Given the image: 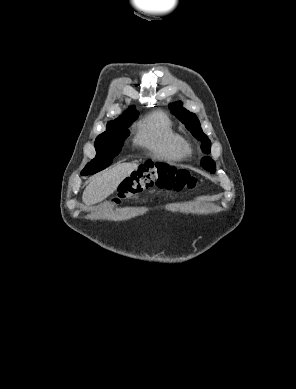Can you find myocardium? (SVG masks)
<instances>
[{
	"label": "myocardium",
	"mask_w": 296,
	"mask_h": 389,
	"mask_svg": "<svg viewBox=\"0 0 296 389\" xmlns=\"http://www.w3.org/2000/svg\"><path fill=\"white\" fill-rule=\"evenodd\" d=\"M184 152L186 155L190 154L192 152V148H191L190 144H188L186 142H184Z\"/></svg>",
	"instance_id": "1"
}]
</instances>
